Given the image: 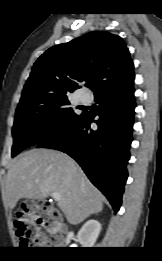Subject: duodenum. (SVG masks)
<instances>
[{
	"label": "duodenum",
	"mask_w": 162,
	"mask_h": 261,
	"mask_svg": "<svg viewBox=\"0 0 162 261\" xmlns=\"http://www.w3.org/2000/svg\"><path fill=\"white\" fill-rule=\"evenodd\" d=\"M57 236H60V240L56 241V244L60 245L65 243L64 238L65 236L67 237L70 236V233L69 232L62 233L61 230H59Z\"/></svg>",
	"instance_id": "duodenum-1"
}]
</instances>
